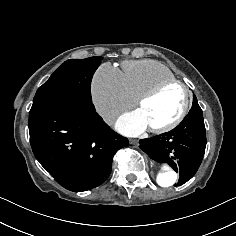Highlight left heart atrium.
<instances>
[{"instance_id":"39dd6f15","label":"left heart atrium","mask_w":236,"mask_h":236,"mask_svg":"<svg viewBox=\"0 0 236 236\" xmlns=\"http://www.w3.org/2000/svg\"><path fill=\"white\" fill-rule=\"evenodd\" d=\"M116 128L125 135L137 136L142 134L148 128V125L141 110L138 109L120 117Z\"/></svg>"}]
</instances>
